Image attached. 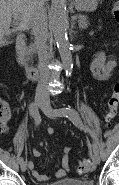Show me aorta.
I'll list each match as a JSON object with an SVG mask.
<instances>
[{"label":"aorta","mask_w":119,"mask_h":185,"mask_svg":"<svg viewBox=\"0 0 119 185\" xmlns=\"http://www.w3.org/2000/svg\"><path fill=\"white\" fill-rule=\"evenodd\" d=\"M67 0H52L50 21L52 32L60 53L66 74H70L73 68L72 54L68 41V15L66 10Z\"/></svg>","instance_id":"762f6f07"}]
</instances>
